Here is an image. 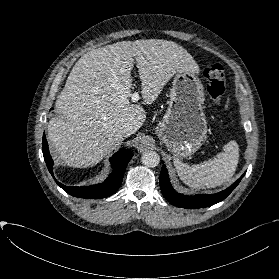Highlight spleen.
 Returning a JSON list of instances; mask_svg holds the SVG:
<instances>
[{
  "instance_id": "3e777b00",
  "label": "spleen",
  "mask_w": 279,
  "mask_h": 279,
  "mask_svg": "<svg viewBox=\"0 0 279 279\" xmlns=\"http://www.w3.org/2000/svg\"><path fill=\"white\" fill-rule=\"evenodd\" d=\"M239 148L235 141L224 146L217 158L190 166L174 158V166L180 179L195 189L214 188L229 181L237 168Z\"/></svg>"
}]
</instances>
